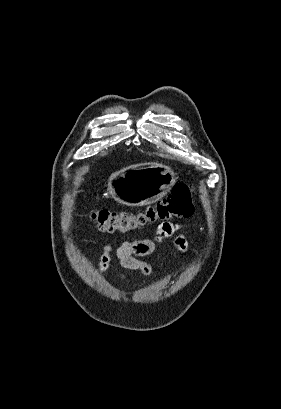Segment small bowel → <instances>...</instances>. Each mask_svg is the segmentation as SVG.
I'll return each mask as SVG.
<instances>
[{"label":"small bowel","mask_w":281,"mask_h":409,"mask_svg":"<svg viewBox=\"0 0 281 409\" xmlns=\"http://www.w3.org/2000/svg\"><path fill=\"white\" fill-rule=\"evenodd\" d=\"M180 223L164 222L162 223L153 239H132L124 241L115 249V255L124 270L140 271L144 275H151L153 267L149 263L140 260L138 257L150 255L156 252L158 242L165 238H174V244L179 251L187 249V239L185 233L181 231ZM111 246H106L100 257V270L105 271L111 261Z\"/></svg>","instance_id":"1"}]
</instances>
